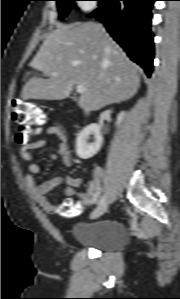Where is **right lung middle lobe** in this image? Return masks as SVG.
Segmentation results:
<instances>
[{"label":"right lung middle lobe","instance_id":"right-lung-middle-lobe-1","mask_svg":"<svg viewBox=\"0 0 180 299\" xmlns=\"http://www.w3.org/2000/svg\"><path fill=\"white\" fill-rule=\"evenodd\" d=\"M58 5V11H59V19H63L67 16L68 12L76 8L75 1L77 0H56ZM101 2L102 0H97Z\"/></svg>","mask_w":180,"mask_h":299}]
</instances>
